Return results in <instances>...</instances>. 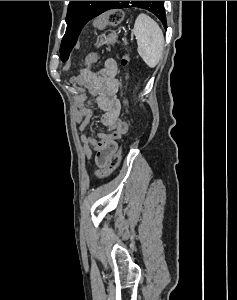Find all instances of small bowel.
Listing matches in <instances>:
<instances>
[{
	"label": "small bowel",
	"instance_id": "obj_1",
	"mask_svg": "<svg viewBox=\"0 0 237 300\" xmlns=\"http://www.w3.org/2000/svg\"><path fill=\"white\" fill-rule=\"evenodd\" d=\"M118 66L116 61L108 59L103 68L98 71L86 66L75 77V83L87 88L96 97L98 107L103 111L102 124L107 127L109 133L90 135L85 132L92 116L88 106L79 107L76 119L80 122L81 140L84 143V152L87 159L91 158L92 149L96 152L95 162L98 167H103L111 154L118 148V140L127 133L128 124L119 118L121 104L117 98L119 81L117 79Z\"/></svg>",
	"mask_w": 237,
	"mask_h": 300
}]
</instances>
